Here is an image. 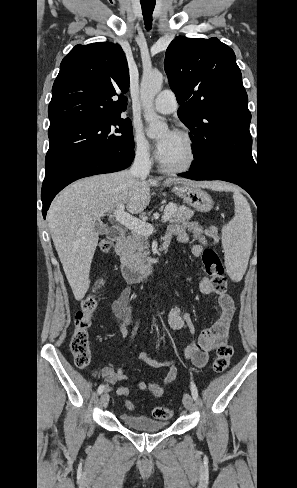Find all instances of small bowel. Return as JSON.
I'll return each instance as SVG.
<instances>
[{
  "label": "small bowel",
  "mask_w": 297,
  "mask_h": 488,
  "mask_svg": "<svg viewBox=\"0 0 297 488\" xmlns=\"http://www.w3.org/2000/svg\"><path fill=\"white\" fill-rule=\"evenodd\" d=\"M176 240L179 243H189L191 237L186 229L182 226L174 225L168 228L164 237V246ZM204 248L201 244H195L191 247V253L195 257L203 254ZM199 289L203 294H210L214 290L212 288L209 278L201 275L199 280ZM131 289H124L119 297L113 302L112 311L115 317L117 326L123 337H127L126 327L132 321V308L130 304ZM216 320L214 323L205 329L198 338H195L196 330L190 316L180 307H174L168 313V323L171 328L175 330H186L192 336L190 344L185 351V358L198 368L204 367L208 362L209 352L216 346L225 341L228 337L230 322L234 313V303L230 295L226 293L219 294L217 306L214 310ZM140 360L149 367L162 368L168 367L169 371L165 379V386L159 385L157 382L150 380L148 383L133 379L126 375L122 369L115 370L112 367H104L94 373L93 377L103 378L106 390H110L113 385L119 381L134 380L140 391L145 393L149 391L154 397H161L167 385L173 383L177 376V369L172 360H157L152 358L147 353H141ZM130 391L127 387L121 386L117 389L116 395L120 397H128Z\"/></svg>",
  "instance_id": "obj_1"
}]
</instances>
